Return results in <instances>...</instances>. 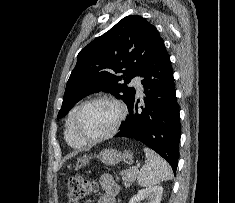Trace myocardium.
<instances>
[{
  "label": "myocardium",
  "mask_w": 235,
  "mask_h": 203,
  "mask_svg": "<svg viewBox=\"0 0 235 203\" xmlns=\"http://www.w3.org/2000/svg\"><path fill=\"white\" fill-rule=\"evenodd\" d=\"M98 101H106V102H110L112 104H114L117 108H118V117L117 120L114 124V126L112 127V129L107 132L104 135H101L99 137H95V138H88L85 137L78 128V120L80 117L81 112L83 111V109L88 106L91 103L94 102H98ZM127 116V108L126 105L119 99L112 97V96H107V95H100V96H95L92 97L86 101H84L83 103H81L73 116V121H72V129L74 134L77 136V138L82 141L85 144H95V143H99L102 142L104 140H107L109 138H111L112 136H114L120 129V127L122 126L124 120L126 119Z\"/></svg>",
  "instance_id": "obj_1"
}]
</instances>
